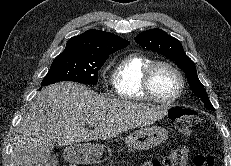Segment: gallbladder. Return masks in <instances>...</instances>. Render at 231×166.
Wrapping results in <instances>:
<instances>
[{"instance_id":"1","label":"gallbladder","mask_w":231,"mask_h":166,"mask_svg":"<svg viewBox=\"0 0 231 166\" xmlns=\"http://www.w3.org/2000/svg\"><path fill=\"white\" fill-rule=\"evenodd\" d=\"M57 163H58L57 159L55 157H53V158L49 159L47 165H45V166H57Z\"/></svg>"}]
</instances>
